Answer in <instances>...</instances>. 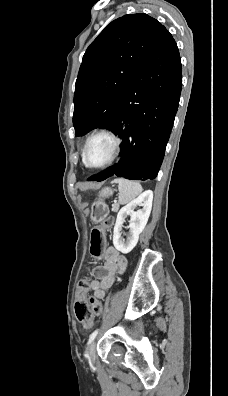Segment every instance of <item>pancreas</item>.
<instances>
[{
  "mask_svg": "<svg viewBox=\"0 0 228 396\" xmlns=\"http://www.w3.org/2000/svg\"><path fill=\"white\" fill-rule=\"evenodd\" d=\"M118 209H119V204H117V203L113 204L112 211L117 212Z\"/></svg>",
  "mask_w": 228,
  "mask_h": 396,
  "instance_id": "1",
  "label": "pancreas"
}]
</instances>
